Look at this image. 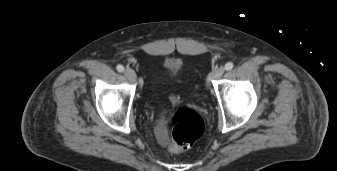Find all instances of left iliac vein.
I'll list each match as a JSON object with an SVG mask.
<instances>
[{"label": "left iliac vein", "mask_w": 337, "mask_h": 171, "mask_svg": "<svg viewBox=\"0 0 337 171\" xmlns=\"http://www.w3.org/2000/svg\"><path fill=\"white\" fill-rule=\"evenodd\" d=\"M224 73V68H216L214 69L207 77V83H210L212 80L219 79Z\"/></svg>", "instance_id": "left-iliac-vein-1"}]
</instances>
